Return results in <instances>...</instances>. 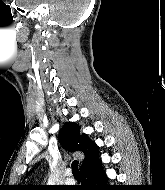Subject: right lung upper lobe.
<instances>
[{
    "label": "right lung upper lobe",
    "mask_w": 165,
    "mask_h": 190,
    "mask_svg": "<svg viewBox=\"0 0 165 190\" xmlns=\"http://www.w3.org/2000/svg\"><path fill=\"white\" fill-rule=\"evenodd\" d=\"M59 141L61 145L70 152L81 151L84 153L85 158L81 170L91 166L99 157L97 148L98 146L91 140H88L86 134H80V127L72 122H67L59 133ZM25 189H31L29 185L23 186Z\"/></svg>",
    "instance_id": "1"
}]
</instances>
